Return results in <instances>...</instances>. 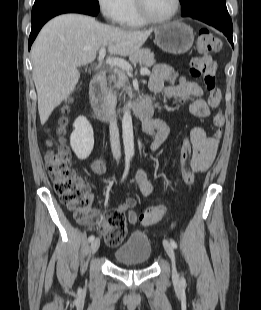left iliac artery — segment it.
Returning <instances> with one entry per match:
<instances>
[{
	"label": "left iliac artery",
	"instance_id": "left-iliac-artery-1",
	"mask_svg": "<svg viewBox=\"0 0 261 310\" xmlns=\"http://www.w3.org/2000/svg\"><path fill=\"white\" fill-rule=\"evenodd\" d=\"M170 244L172 245L173 248H177V243L174 240H170ZM181 282L185 283L184 277L181 278Z\"/></svg>",
	"mask_w": 261,
	"mask_h": 310
}]
</instances>
